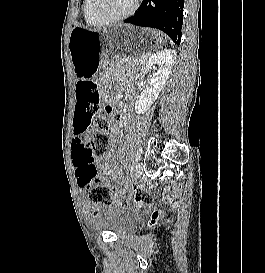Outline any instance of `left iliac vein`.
<instances>
[{
  "instance_id": "left-iliac-vein-1",
  "label": "left iliac vein",
  "mask_w": 265,
  "mask_h": 273,
  "mask_svg": "<svg viewBox=\"0 0 265 273\" xmlns=\"http://www.w3.org/2000/svg\"><path fill=\"white\" fill-rule=\"evenodd\" d=\"M142 173H143V166L140 162H138L135 166L134 177L140 178Z\"/></svg>"
}]
</instances>
